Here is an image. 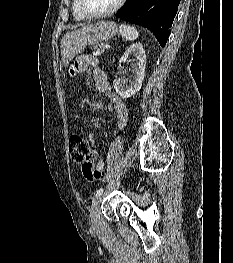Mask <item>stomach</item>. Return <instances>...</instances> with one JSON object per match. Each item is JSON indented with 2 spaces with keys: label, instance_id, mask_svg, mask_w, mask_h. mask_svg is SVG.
Listing matches in <instances>:
<instances>
[{
  "label": "stomach",
  "instance_id": "1",
  "mask_svg": "<svg viewBox=\"0 0 233 263\" xmlns=\"http://www.w3.org/2000/svg\"><path fill=\"white\" fill-rule=\"evenodd\" d=\"M118 26L112 21H101L88 24L80 29L66 33L61 41V57L63 65L81 53L86 45H95L108 41L116 36Z\"/></svg>",
  "mask_w": 233,
  "mask_h": 263
}]
</instances>
